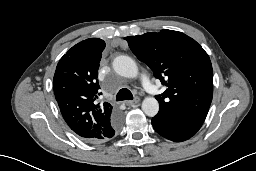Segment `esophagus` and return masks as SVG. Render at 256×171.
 Returning <instances> with one entry per match:
<instances>
[{
    "label": "esophagus",
    "mask_w": 256,
    "mask_h": 171,
    "mask_svg": "<svg viewBox=\"0 0 256 171\" xmlns=\"http://www.w3.org/2000/svg\"><path fill=\"white\" fill-rule=\"evenodd\" d=\"M139 102H140V98H139V97H136L134 100H132V101H126L125 103H126V105H128V106H134V105L138 104Z\"/></svg>",
    "instance_id": "obj_1"
}]
</instances>
